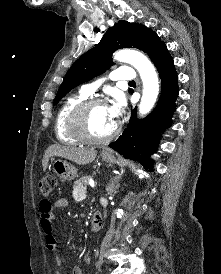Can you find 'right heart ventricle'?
Returning <instances> with one entry per match:
<instances>
[{"label": "right heart ventricle", "instance_id": "right-heart-ventricle-1", "mask_svg": "<svg viewBox=\"0 0 221 274\" xmlns=\"http://www.w3.org/2000/svg\"><path fill=\"white\" fill-rule=\"evenodd\" d=\"M89 95L82 90L70 95L59 107L54 123V132L58 141L67 145H76L81 141L76 138L69 130L68 120L72 109L80 102L87 100Z\"/></svg>", "mask_w": 221, "mask_h": 274}]
</instances>
